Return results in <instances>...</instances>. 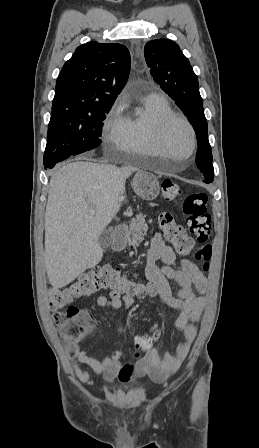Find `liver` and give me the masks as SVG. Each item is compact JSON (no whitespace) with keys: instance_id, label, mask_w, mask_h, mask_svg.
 <instances>
[{"instance_id":"1","label":"liver","mask_w":259,"mask_h":448,"mask_svg":"<svg viewBox=\"0 0 259 448\" xmlns=\"http://www.w3.org/2000/svg\"><path fill=\"white\" fill-rule=\"evenodd\" d=\"M131 168L73 162L49 182L45 214V266L53 288H64L102 260L98 244L119 212V194ZM91 210H95L91 216Z\"/></svg>"}]
</instances>
